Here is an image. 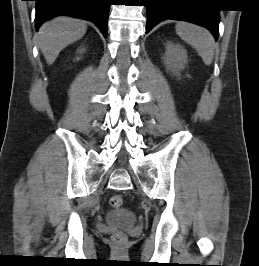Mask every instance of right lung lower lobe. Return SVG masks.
<instances>
[{"mask_svg":"<svg viewBox=\"0 0 259 266\" xmlns=\"http://www.w3.org/2000/svg\"><path fill=\"white\" fill-rule=\"evenodd\" d=\"M35 28L58 15H68L94 22L107 38L110 0H35Z\"/></svg>","mask_w":259,"mask_h":266,"instance_id":"right-lung-lower-lobe-1","label":"right lung lower lobe"}]
</instances>
